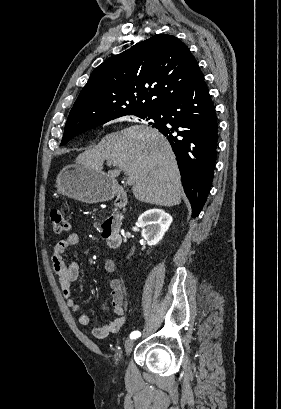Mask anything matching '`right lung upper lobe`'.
Segmentation results:
<instances>
[{"label": "right lung upper lobe", "mask_w": 281, "mask_h": 409, "mask_svg": "<svg viewBox=\"0 0 281 409\" xmlns=\"http://www.w3.org/2000/svg\"><path fill=\"white\" fill-rule=\"evenodd\" d=\"M201 74L182 41L172 35H156L92 72L65 128L88 126L124 112H157L188 90Z\"/></svg>", "instance_id": "cb5924a9"}]
</instances>
